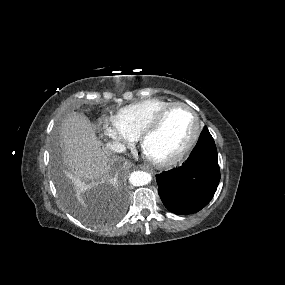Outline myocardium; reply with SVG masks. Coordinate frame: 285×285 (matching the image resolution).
Listing matches in <instances>:
<instances>
[{
  "label": "myocardium",
  "instance_id": "myocardium-1",
  "mask_svg": "<svg viewBox=\"0 0 285 285\" xmlns=\"http://www.w3.org/2000/svg\"><path fill=\"white\" fill-rule=\"evenodd\" d=\"M175 108H184L186 109L191 116L193 117L195 121V129L193 132L192 137L188 141V143L184 146L182 150H180L176 155L172 156L171 158L164 159V160H159V159H154L149 156L148 159L156 166L162 167V168H168L171 166H174L181 162L195 147L197 144L201 132H202V122L200 120V117L198 113L188 104L183 103V102H173L172 104L168 105L166 108H164L162 111H160L152 120H150L141 130L139 134V140L141 145H143L145 139L152 134L154 131H156L164 119L167 117V115Z\"/></svg>",
  "mask_w": 285,
  "mask_h": 285
}]
</instances>
